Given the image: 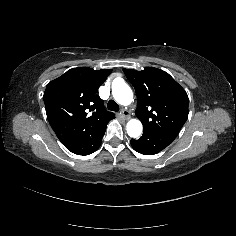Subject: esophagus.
Listing matches in <instances>:
<instances>
[{"instance_id":"1","label":"esophagus","mask_w":236,"mask_h":236,"mask_svg":"<svg viewBox=\"0 0 236 236\" xmlns=\"http://www.w3.org/2000/svg\"><path fill=\"white\" fill-rule=\"evenodd\" d=\"M121 115H122L124 118H128V117H129V111L126 110V109H122V110H121Z\"/></svg>"}]
</instances>
